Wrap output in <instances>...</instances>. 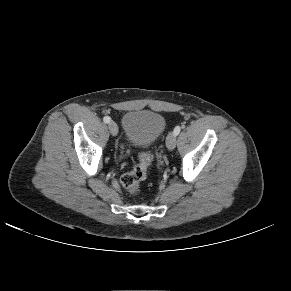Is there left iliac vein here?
<instances>
[{
	"instance_id": "4c4485c4",
	"label": "left iliac vein",
	"mask_w": 291,
	"mask_h": 291,
	"mask_svg": "<svg viewBox=\"0 0 291 291\" xmlns=\"http://www.w3.org/2000/svg\"><path fill=\"white\" fill-rule=\"evenodd\" d=\"M176 135L169 133L166 138V146L169 150H173L176 147Z\"/></svg>"
}]
</instances>
